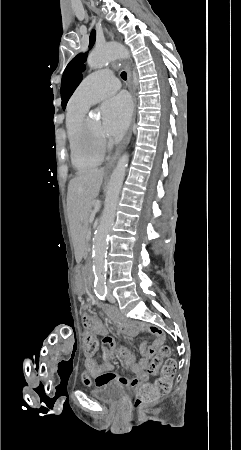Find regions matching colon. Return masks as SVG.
Instances as JSON below:
<instances>
[{
  "label": "colon",
  "instance_id": "1",
  "mask_svg": "<svg viewBox=\"0 0 241 450\" xmlns=\"http://www.w3.org/2000/svg\"><path fill=\"white\" fill-rule=\"evenodd\" d=\"M97 345V341L93 339L91 335L81 333L79 335V347L85 356H92L96 350L94 347ZM170 351L168 346H161L158 355L153 359V368L148 369L150 373H156L160 368V362L169 356ZM165 367L162 368V376L157 378L153 383L143 385L137 393V397L134 401L136 408H144L152 405L160 400L169 390L170 376L176 370L174 361L168 360L165 362Z\"/></svg>",
  "mask_w": 241,
  "mask_h": 450
}]
</instances>
